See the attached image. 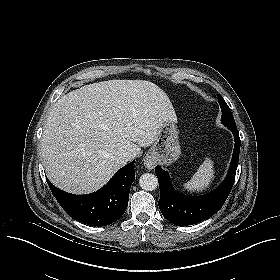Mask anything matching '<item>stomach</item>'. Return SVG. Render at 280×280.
<instances>
[{
	"instance_id": "1",
	"label": "stomach",
	"mask_w": 280,
	"mask_h": 280,
	"mask_svg": "<svg viewBox=\"0 0 280 280\" xmlns=\"http://www.w3.org/2000/svg\"><path fill=\"white\" fill-rule=\"evenodd\" d=\"M178 134L179 132L174 123L165 122L158 130L147 155L161 165L169 166L177 161L181 155Z\"/></svg>"
}]
</instances>
